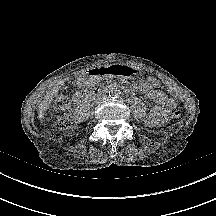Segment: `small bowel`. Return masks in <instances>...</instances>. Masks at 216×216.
<instances>
[{
	"mask_svg": "<svg viewBox=\"0 0 216 216\" xmlns=\"http://www.w3.org/2000/svg\"><path fill=\"white\" fill-rule=\"evenodd\" d=\"M159 82L154 77L138 81L134 88L146 98L156 103L146 117V123L150 126L162 124L170 111L175 107V101L158 89Z\"/></svg>",
	"mask_w": 216,
	"mask_h": 216,
	"instance_id": "small-bowel-1",
	"label": "small bowel"
}]
</instances>
